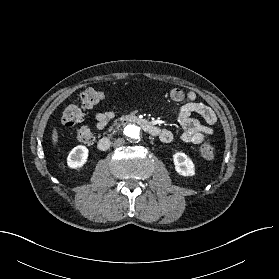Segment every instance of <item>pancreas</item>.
<instances>
[{
    "label": "pancreas",
    "mask_w": 279,
    "mask_h": 279,
    "mask_svg": "<svg viewBox=\"0 0 279 279\" xmlns=\"http://www.w3.org/2000/svg\"><path fill=\"white\" fill-rule=\"evenodd\" d=\"M114 126H116V123L114 124ZM114 126H111V127L109 128V132H113V131H114V128H116V127H114Z\"/></svg>",
    "instance_id": "pancreas-1"
}]
</instances>
